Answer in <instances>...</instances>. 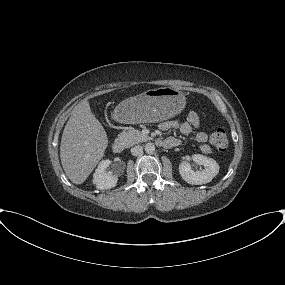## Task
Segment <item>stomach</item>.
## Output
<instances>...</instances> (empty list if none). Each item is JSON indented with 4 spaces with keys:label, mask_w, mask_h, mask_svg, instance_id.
I'll use <instances>...</instances> for the list:
<instances>
[{
    "label": "stomach",
    "mask_w": 285,
    "mask_h": 285,
    "mask_svg": "<svg viewBox=\"0 0 285 285\" xmlns=\"http://www.w3.org/2000/svg\"><path fill=\"white\" fill-rule=\"evenodd\" d=\"M185 105L182 91L161 87L123 100L116 106L114 116L127 124L154 123L176 116Z\"/></svg>",
    "instance_id": "stomach-1"
}]
</instances>
